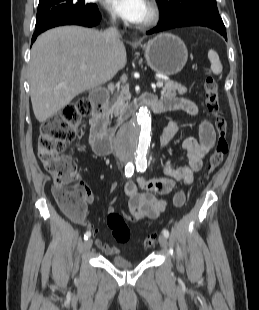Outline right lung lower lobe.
Wrapping results in <instances>:
<instances>
[{
    "mask_svg": "<svg viewBox=\"0 0 259 310\" xmlns=\"http://www.w3.org/2000/svg\"><path fill=\"white\" fill-rule=\"evenodd\" d=\"M101 20V15L98 11V8L90 13H88L87 15L81 16V17H76V18H71V17H55L52 18L50 20H48L47 22H45L44 24H42L39 27H35L36 30L33 34L32 37V41L31 43H33L37 36L39 34H41L42 32L56 27V26H61V25H82V26H86V27H93L96 26L100 23Z\"/></svg>",
    "mask_w": 259,
    "mask_h": 310,
    "instance_id": "98d812e1",
    "label": "right lung lower lobe"
}]
</instances>
